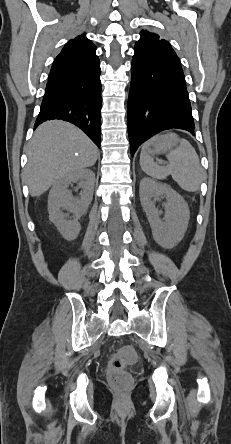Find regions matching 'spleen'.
Listing matches in <instances>:
<instances>
[{"mask_svg": "<svg viewBox=\"0 0 231 444\" xmlns=\"http://www.w3.org/2000/svg\"><path fill=\"white\" fill-rule=\"evenodd\" d=\"M166 138L167 136L162 135L143 145L140 154L141 169L147 175L159 180L171 175L183 190L197 191L203 180V171L195 149L187 140L180 139L179 146L166 155L169 161L167 166H159L149 155L150 147Z\"/></svg>", "mask_w": 231, "mask_h": 444, "instance_id": "spleen-1", "label": "spleen"}]
</instances>
